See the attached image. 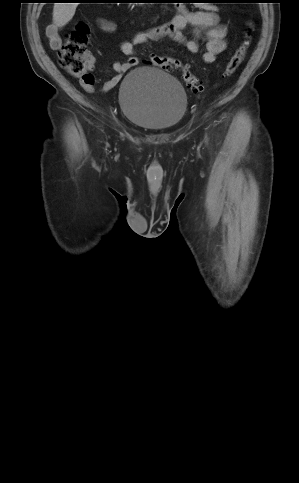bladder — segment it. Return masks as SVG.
Masks as SVG:
<instances>
[{
    "mask_svg": "<svg viewBox=\"0 0 299 483\" xmlns=\"http://www.w3.org/2000/svg\"><path fill=\"white\" fill-rule=\"evenodd\" d=\"M124 117L152 131L174 128L185 116L188 99L180 81L151 67L133 68L121 81L118 94Z\"/></svg>",
    "mask_w": 299,
    "mask_h": 483,
    "instance_id": "31cf9c89",
    "label": "bladder"
}]
</instances>
